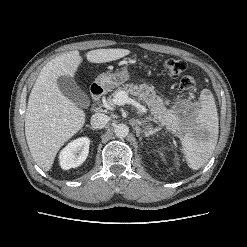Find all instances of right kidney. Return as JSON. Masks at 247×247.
Masks as SVG:
<instances>
[{"label":"right kidney","instance_id":"right-kidney-1","mask_svg":"<svg viewBox=\"0 0 247 247\" xmlns=\"http://www.w3.org/2000/svg\"><path fill=\"white\" fill-rule=\"evenodd\" d=\"M90 140L81 137L70 142L59 154V163L62 169L68 170L80 166L89 153Z\"/></svg>","mask_w":247,"mask_h":247}]
</instances>
